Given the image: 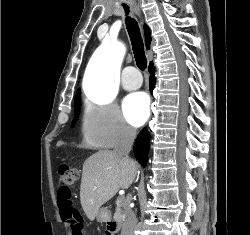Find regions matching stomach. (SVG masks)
<instances>
[{"label":"stomach","mask_w":250,"mask_h":235,"mask_svg":"<svg viewBox=\"0 0 250 235\" xmlns=\"http://www.w3.org/2000/svg\"><path fill=\"white\" fill-rule=\"evenodd\" d=\"M109 220V212L106 208H101L97 214L98 222H107Z\"/></svg>","instance_id":"stomach-1"}]
</instances>
